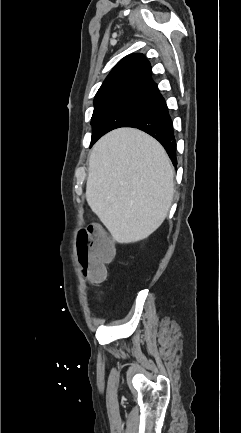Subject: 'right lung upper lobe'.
Segmentation results:
<instances>
[{
  "instance_id": "1",
  "label": "right lung upper lobe",
  "mask_w": 241,
  "mask_h": 433,
  "mask_svg": "<svg viewBox=\"0 0 241 433\" xmlns=\"http://www.w3.org/2000/svg\"><path fill=\"white\" fill-rule=\"evenodd\" d=\"M158 91L151 79V66L142 54L121 59L99 88L95 101L119 95H153ZM94 101V102H95Z\"/></svg>"
}]
</instances>
